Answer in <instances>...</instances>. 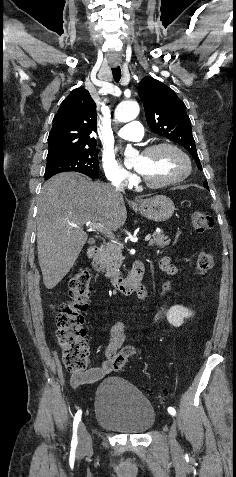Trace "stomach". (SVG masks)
<instances>
[{
    "instance_id": "0dacf381",
    "label": "stomach",
    "mask_w": 236,
    "mask_h": 477,
    "mask_svg": "<svg viewBox=\"0 0 236 477\" xmlns=\"http://www.w3.org/2000/svg\"><path fill=\"white\" fill-rule=\"evenodd\" d=\"M174 210L173 201L164 195H157L139 202L140 213L155 222L168 220L173 215Z\"/></svg>"
}]
</instances>
